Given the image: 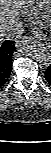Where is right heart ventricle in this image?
<instances>
[{"mask_svg":"<svg viewBox=\"0 0 51 153\" xmlns=\"http://www.w3.org/2000/svg\"><path fill=\"white\" fill-rule=\"evenodd\" d=\"M36 1H38L39 3H43L45 0H36Z\"/></svg>","mask_w":51,"mask_h":153,"instance_id":"right-heart-ventricle-1","label":"right heart ventricle"}]
</instances>
